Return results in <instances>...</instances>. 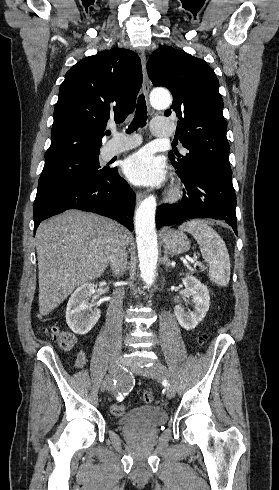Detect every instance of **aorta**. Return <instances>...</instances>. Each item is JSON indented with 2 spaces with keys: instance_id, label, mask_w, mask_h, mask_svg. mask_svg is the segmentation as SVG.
Segmentation results:
<instances>
[{
  "instance_id": "obj_1",
  "label": "aorta",
  "mask_w": 279,
  "mask_h": 490,
  "mask_svg": "<svg viewBox=\"0 0 279 490\" xmlns=\"http://www.w3.org/2000/svg\"><path fill=\"white\" fill-rule=\"evenodd\" d=\"M151 105L157 109L170 106L172 99L165 90H154L150 95ZM156 198H145L135 214V233L141 277L146 287L154 284L158 259L157 235L155 230Z\"/></svg>"
}]
</instances>
